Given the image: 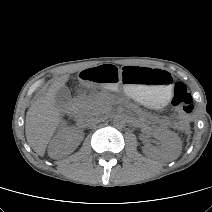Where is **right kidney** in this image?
<instances>
[{"instance_id": "1", "label": "right kidney", "mask_w": 212, "mask_h": 212, "mask_svg": "<svg viewBox=\"0 0 212 212\" xmlns=\"http://www.w3.org/2000/svg\"><path fill=\"white\" fill-rule=\"evenodd\" d=\"M84 138V133L75 128L62 127L51 140L48 154L53 159H60L71 154Z\"/></svg>"}]
</instances>
